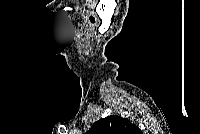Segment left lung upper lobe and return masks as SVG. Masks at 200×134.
<instances>
[{
	"label": "left lung upper lobe",
	"mask_w": 200,
	"mask_h": 134,
	"mask_svg": "<svg viewBox=\"0 0 200 134\" xmlns=\"http://www.w3.org/2000/svg\"><path fill=\"white\" fill-rule=\"evenodd\" d=\"M86 134H141V130L127 119L113 115L95 122Z\"/></svg>",
	"instance_id": "left-lung-upper-lobe-1"
}]
</instances>
